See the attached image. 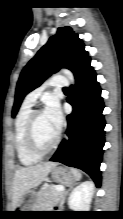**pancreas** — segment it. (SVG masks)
I'll return each mask as SVG.
<instances>
[{
    "instance_id": "1",
    "label": "pancreas",
    "mask_w": 123,
    "mask_h": 219,
    "mask_svg": "<svg viewBox=\"0 0 123 219\" xmlns=\"http://www.w3.org/2000/svg\"><path fill=\"white\" fill-rule=\"evenodd\" d=\"M55 187V185H48L41 188L37 204L38 210H49L62 200L63 191H57Z\"/></svg>"
}]
</instances>
